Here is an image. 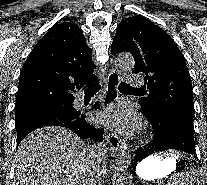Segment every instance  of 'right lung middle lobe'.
<instances>
[{
    "mask_svg": "<svg viewBox=\"0 0 207 185\" xmlns=\"http://www.w3.org/2000/svg\"><path fill=\"white\" fill-rule=\"evenodd\" d=\"M79 113L72 103L51 104L15 112V125L37 118H56L63 121L79 119Z\"/></svg>",
    "mask_w": 207,
    "mask_h": 185,
    "instance_id": "right-lung-middle-lobe-1",
    "label": "right lung middle lobe"
}]
</instances>
